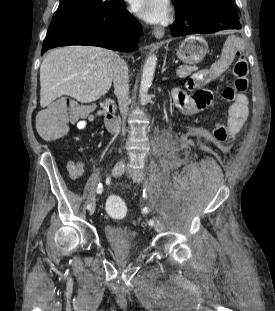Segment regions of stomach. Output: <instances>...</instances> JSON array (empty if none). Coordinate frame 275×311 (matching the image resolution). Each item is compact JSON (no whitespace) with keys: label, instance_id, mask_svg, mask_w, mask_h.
<instances>
[{"label":"stomach","instance_id":"stomach-1","mask_svg":"<svg viewBox=\"0 0 275 311\" xmlns=\"http://www.w3.org/2000/svg\"><path fill=\"white\" fill-rule=\"evenodd\" d=\"M208 51L207 43L198 36H189L181 44L177 56L186 64H195L203 60Z\"/></svg>","mask_w":275,"mask_h":311}]
</instances>
